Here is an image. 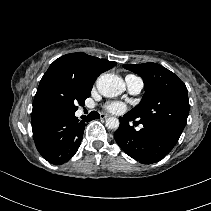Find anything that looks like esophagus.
<instances>
[{
  "instance_id": "esophagus-1",
  "label": "esophagus",
  "mask_w": 211,
  "mask_h": 211,
  "mask_svg": "<svg viewBox=\"0 0 211 211\" xmlns=\"http://www.w3.org/2000/svg\"><path fill=\"white\" fill-rule=\"evenodd\" d=\"M108 117H110L109 114H105V113L100 114V118H102V119H105V118H108Z\"/></svg>"
}]
</instances>
